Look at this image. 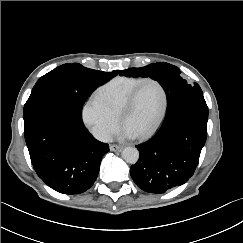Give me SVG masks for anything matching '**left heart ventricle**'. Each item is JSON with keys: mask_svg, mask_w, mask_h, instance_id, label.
<instances>
[{"mask_svg": "<svg viewBox=\"0 0 243 243\" xmlns=\"http://www.w3.org/2000/svg\"><path fill=\"white\" fill-rule=\"evenodd\" d=\"M162 104V92L154 82L143 84L133 107L126 113L123 125L136 134L146 130L156 118Z\"/></svg>", "mask_w": 243, "mask_h": 243, "instance_id": "obj_1", "label": "left heart ventricle"}]
</instances>
